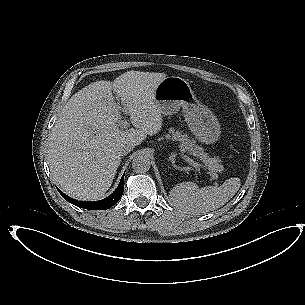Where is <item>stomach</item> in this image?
<instances>
[{
	"instance_id": "0dacf381",
	"label": "stomach",
	"mask_w": 305,
	"mask_h": 305,
	"mask_svg": "<svg viewBox=\"0 0 305 305\" xmlns=\"http://www.w3.org/2000/svg\"><path fill=\"white\" fill-rule=\"evenodd\" d=\"M153 95L162 114L171 115L182 109L189 129L200 141L212 143L217 140L220 128L214 114L197 100L184 78L165 77L157 84Z\"/></svg>"
}]
</instances>
